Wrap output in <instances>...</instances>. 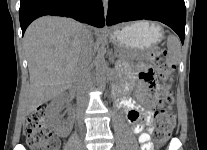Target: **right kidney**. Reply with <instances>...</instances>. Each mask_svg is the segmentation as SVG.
<instances>
[{
  "instance_id": "right-kidney-1",
  "label": "right kidney",
  "mask_w": 207,
  "mask_h": 150,
  "mask_svg": "<svg viewBox=\"0 0 207 150\" xmlns=\"http://www.w3.org/2000/svg\"><path fill=\"white\" fill-rule=\"evenodd\" d=\"M68 102L66 94H60L55 97L48 106V118L52 127H55L59 121L60 112Z\"/></svg>"
}]
</instances>
